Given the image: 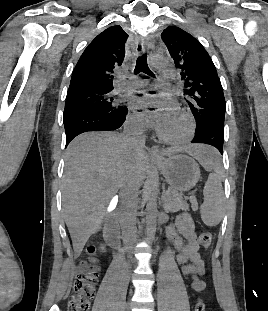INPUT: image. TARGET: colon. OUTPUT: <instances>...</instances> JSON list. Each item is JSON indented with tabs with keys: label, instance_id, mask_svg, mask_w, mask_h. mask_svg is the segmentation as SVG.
<instances>
[{
	"label": "colon",
	"instance_id": "1",
	"mask_svg": "<svg viewBox=\"0 0 268 311\" xmlns=\"http://www.w3.org/2000/svg\"><path fill=\"white\" fill-rule=\"evenodd\" d=\"M200 245L208 249L212 243V235L209 232H202L199 235ZM94 248L88 249L87 258L81 263L74 283V294L69 303V311H88L94 297L95 287L99 277V266L94 258ZM194 311H205L203 300H198Z\"/></svg>",
	"mask_w": 268,
	"mask_h": 311
}]
</instances>
